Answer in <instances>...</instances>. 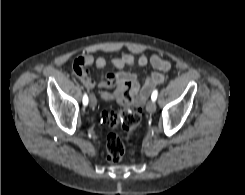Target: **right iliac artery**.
Returning a JSON list of instances; mask_svg holds the SVG:
<instances>
[{"label":"right iliac artery","instance_id":"82829eb1","mask_svg":"<svg viewBox=\"0 0 245 195\" xmlns=\"http://www.w3.org/2000/svg\"><path fill=\"white\" fill-rule=\"evenodd\" d=\"M82 101L85 106L88 104V96L86 94H84Z\"/></svg>","mask_w":245,"mask_h":195}]
</instances>
